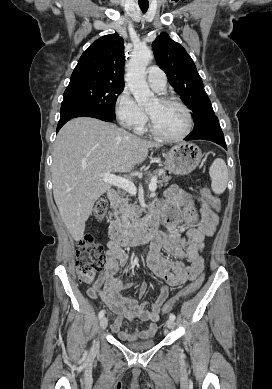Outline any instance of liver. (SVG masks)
Wrapping results in <instances>:
<instances>
[{"instance_id":"6515ba94","label":"liver","mask_w":272,"mask_h":389,"mask_svg":"<svg viewBox=\"0 0 272 389\" xmlns=\"http://www.w3.org/2000/svg\"><path fill=\"white\" fill-rule=\"evenodd\" d=\"M147 141L95 118L79 117L59 131L53 147V195L60 216L75 241L84 237L94 203L111 188L100 174L124 173L142 163Z\"/></svg>"}]
</instances>
